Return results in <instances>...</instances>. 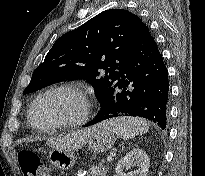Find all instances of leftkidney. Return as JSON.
I'll return each mask as SVG.
<instances>
[{
	"mask_svg": "<svg viewBox=\"0 0 205 176\" xmlns=\"http://www.w3.org/2000/svg\"><path fill=\"white\" fill-rule=\"evenodd\" d=\"M133 166H136L137 169L126 174L125 171ZM149 166L150 160L146 152L135 148L117 163L115 176H147Z\"/></svg>",
	"mask_w": 205,
	"mask_h": 176,
	"instance_id": "5707ae66",
	"label": "left kidney"
}]
</instances>
